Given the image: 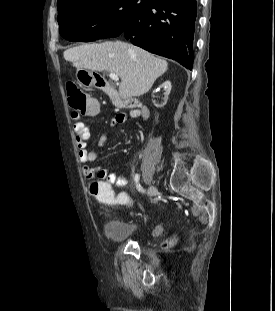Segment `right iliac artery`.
<instances>
[{
  "instance_id": "right-iliac-artery-1",
  "label": "right iliac artery",
  "mask_w": 275,
  "mask_h": 311,
  "mask_svg": "<svg viewBox=\"0 0 275 311\" xmlns=\"http://www.w3.org/2000/svg\"><path fill=\"white\" fill-rule=\"evenodd\" d=\"M139 179H140L139 175H138V174H135V176H134V181H135V184H136V188L138 189L139 192L144 193L145 190L141 187V185H140V183H139Z\"/></svg>"
}]
</instances>
